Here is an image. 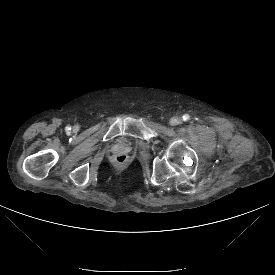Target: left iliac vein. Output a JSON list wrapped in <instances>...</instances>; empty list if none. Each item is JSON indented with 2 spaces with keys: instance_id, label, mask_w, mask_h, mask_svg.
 <instances>
[{
  "instance_id": "4c4485c4",
  "label": "left iliac vein",
  "mask_w": 275,
  "mask_h": 275,
  "mask_svg": "<svg viewBox=\"0 0 275 275\" xmlns=\"http://www.w3.org/2000/svg\"><path fill=\"white\" fill-rule=\"evenodd\" d=\"M182 122V119L180 117H173L171 120H170V123L172 125H178Z\"/></svg>"
}]
</instances>
